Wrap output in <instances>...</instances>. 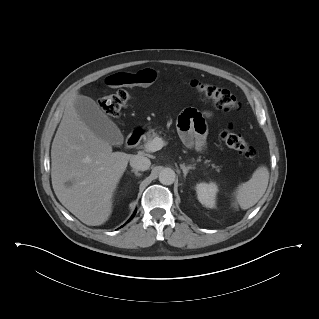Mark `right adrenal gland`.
I'll return each mask as SVG.
<instances>
[{"label":"right adrenal gland","instance_id":"2a0ac1e0","mask_svg":"<svg viewBox=\"0 0 319 319\" xmlns=\"http://www.w3.org/2000/svg\"><path fill=\"white\" fill-rule=\"evenodd\" d=\"M131 172H133L138 177L142 175L141 173H139L137 170H134V169H132Z\"/></svg>","mask_w":319,"mask_h":319}]
</instances>
